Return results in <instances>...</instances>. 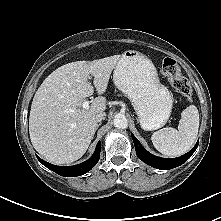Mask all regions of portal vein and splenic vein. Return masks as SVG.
Wrapping results in <instances>:
<instances>
[{
  "label": "portal vein and splenic vein",
  "instance_id": "obj_1",
  "mask_svg": "<svg viewBox=\"0 0 221 221\" xmlns=\"http://www.w3.org/2000/svg\"><path fill=\"white\" fill-rule=\"evenodd\" d=\"M89 104H90V101H88V100L84 101L83 104H82L83 109H88L89 108ZM67 112L68 113H72V112H74V110L73 109H69V110H67Z\"/></svg>",
  "mask_w": 221,
  "mask_h": 221
}]
</instances>
